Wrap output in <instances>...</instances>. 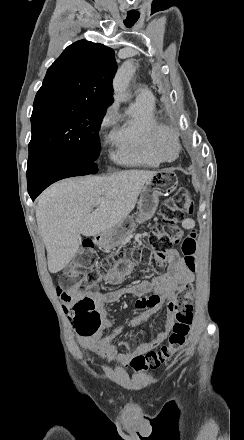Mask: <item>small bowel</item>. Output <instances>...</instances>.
<instances>
[{
    "instance_id": "1",
    "label": "small bowel",
    "mask_w": 244,
    "mask_h": 440,
    "mask_svg": "<svg viewBox=\"0 0 244 440\" xmlns=\"http://www.w3.org/2000/svg\"><path fill=\"white\" fill-rule=\"evenodd\" d=\"M181 226L185 230H192L195 221L186 218ZM167 271L158 276L139 281L127 288L112 290L109 292H81L77 288H72L68 294L76 300L89 299L95 304L96 310L101 316L99 329L90 336H80L78 342L85 357L93 353L105 364L116 362L119 368L128 367L133 361L134 353H147L161 345L168 337L172 328V305L175 294L178 290L191 285L194 281V270H190L185 259L175 249L167 253ZM134 270L131 260L122 258L118 263L111 267L100 279L111 285L121 284L124 279ZM133 295L138 299L136 307L144 312L133 318L124 325L116 326L110 320L106 305L118 302L125 295ZM167 305L168 314L165 318L163 327L151 335L146 342L126 343L127 350L118 352L116 346L112 345V340L126 329H146L151 331L147 325L148 320L157 314L161 308ZM110 331V335L103 337V331Z\"/></svg>"
}]
</instances>
